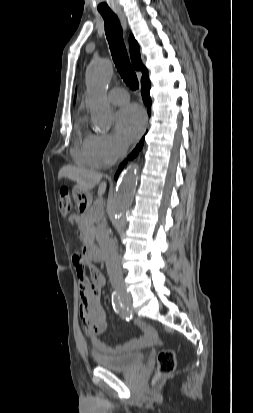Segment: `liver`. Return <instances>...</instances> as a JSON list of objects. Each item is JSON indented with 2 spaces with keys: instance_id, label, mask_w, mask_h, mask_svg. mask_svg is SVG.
<instances>
[{
  "instance_id": "6515ba94",
  "label": "liver",
  "mask_w": 253,
  "mask_h": 413,
  "mask_svg": "<svg viewBox=\"0 0 253 413\" xmlns=\"http://www.w3.org/2000/svg\"><path fill=\"white\" fill-rule=\"evenodd\" d=\"M58 178H68L77 183L81 189L85 191H90L95 188L96 185L99 184L98 188V195L101 196L106 191V182L100 183L102 179V175L88 171L83 168L75 167V166H64L60 169L58 173Z\"/></svg>"
}]
</instances>
